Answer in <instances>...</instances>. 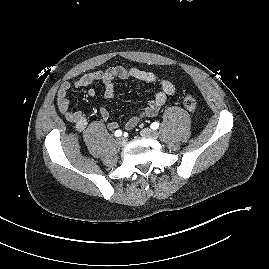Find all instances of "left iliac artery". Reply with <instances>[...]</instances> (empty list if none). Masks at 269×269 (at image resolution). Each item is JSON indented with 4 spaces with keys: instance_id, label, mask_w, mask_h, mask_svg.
<instances>
[{
    "instance_id": "44dca946",
    "label": "left iliac artery",
    "mask_w": 269,
    "mask_h": 269,
    "mask_svg": "<svg viewBox=\"0 0 269 269\" xmlns=\"http://www.w3.org/2000/svg\"><path fill=\"white\" fill-rule=\"evenodd\" d=\"M159 127V123L158 122H153L152 124H151V128L152 129H157Z\"/></svg>"
}]
</instances>
